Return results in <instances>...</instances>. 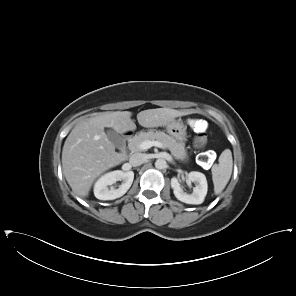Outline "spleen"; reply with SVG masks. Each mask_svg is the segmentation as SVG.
<instances>
[{"mask_svg": "<svg viewBox=\"0 0 296 296\" xmlns=\"http://www.w3.org/2000/svg\"><path fill=\"white\" fill-rule=\"evenodd\" d=\"M233 168L232 152L224 150L219 157V164L212 169L215 194H220L230 180Z\"/></svg>", "mask_w": 296, "mask_h": 296, "instance_id": "obj_1", "label": "spleen"}]
</instances>
